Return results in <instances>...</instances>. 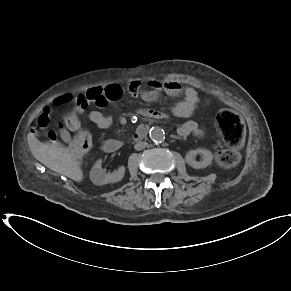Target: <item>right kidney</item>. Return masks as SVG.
I'll return each mask as SVG.
<instances>
[{
	"instance_id": "right-kidney-1",
	"label": "right kidney",
	"mask_w": 291,
	"mask_h": 291,
	"mask_svg": "<svg viewBox=\"0 0 291 291\" xmlns=\"http://www.w3.org/2000/svg\"><path fill=\"white\" fill-rule=\"evenodd\" d=\"M102 159H99L90 171V179L95 185H104L108 183H116L122 180L125 174V167L120 166L118 170L112 173H106L101 166Z\"/></svg>"
}]
</instances>
